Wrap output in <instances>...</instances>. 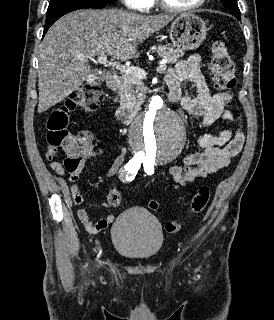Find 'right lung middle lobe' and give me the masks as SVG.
Returning a JSON list of instances; mask_svg holds the SVG:
<instances>
[{
	"label": "right lung middle lobe",
	"mask_w": 274,
	"mask_h": 320,
	"mask_svg": "<svg viewBox=\"0 0 274 320\" xmlns=\"http://www.w3.org/2000/svg\"><path fill=\"white\" fill-rule=\"evenodd\" d=\"M116 0H51L47 9V15L68 7L113 3Z\"/></svg>",
	"instance_id": "right-lung-middle-lobe-1"
}]
</instances>
